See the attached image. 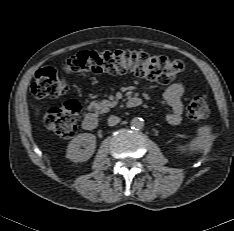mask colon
<instances>
[{"label":"colon","mask_w":234,"mask_h":231,"mask_svg":"<svg viewBox=\"0 0 234 231\" xmlns=\"http://www.w3.org/2000/svg\"><path fill=\"white\" fill-rule=\"evenodd\" d=\"M183 69L184 64L180 60L126 50L82 51L65 63L68 73L122 74L130 71L139 77L164 84L176 79ZM68 90L69 85L52 68L38 70L31 86L32 93L42 99L58 97ZM80 110L78 101L69 100L45 115V127L62 139H70L75 135ZM187 114L194 122L205 120L208 116L206 98L203 95L193 96Z\"/></svg>","instance_id":"1"}]
</instances>
